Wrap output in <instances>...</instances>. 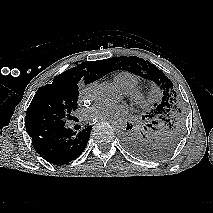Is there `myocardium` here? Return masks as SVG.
<instances>
[{"label":"myocardium","instance_id":"1","mask_svg":"<svg viewBox=\"0 0 213 213\" xmlns=\"http://www.w3.org/2000/svg\"><path fill=\"white\" fill-rule=\"evenodd\" d=\"M124 95L137 107L147 108L151 103L148 93L142 88L136 87L130 90H124Z\"/></svg>","mask_w":213,"mask_h":213}]
</instances>
